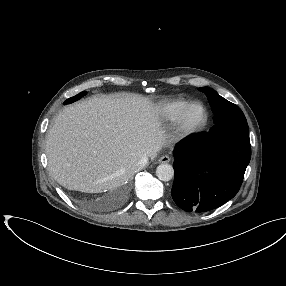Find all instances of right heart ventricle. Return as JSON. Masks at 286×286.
<instances>
[{
	"label": "right heart ventricle",
	"instance_id": "e07e8e85",
	"mask_svg": "<svg viewBox=\"0 0 286 286\" xmlns=\"http://www.w3.org/2000/svg\"><path fill=\"white\" fill-rule=\"evenodd\" d=\"M191 104L186 99H170L158 103L153 110V118L160 125L176 122Z\"/></svg>",
	"mask_w": 286,
	"mask_h": 286
}]
</instances>
